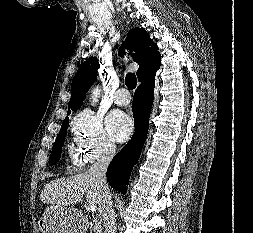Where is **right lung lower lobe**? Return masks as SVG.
<instances>
[{
	"instance_id": "right-lung-lower-lobe-1",
	"label": "right lung lower lobe",
	"mask_w": 253,
	"mask_h": 233,
	"mask_svg": "<svg viewBox=\"0 0 253 233\" xmlns=\"http://www.w3.org/2000/svg\"><path fill=\"white\" fill-rule=\"evenodd\" d=\"M156 71L150 72L140 81L134 94L132 111L135 133L127 145L115 155L107 169L109 184L122 194L126 193L130 173L138 161L147 137L149 116L154 98V81Z\"/></svg>"
}]
</instances>
